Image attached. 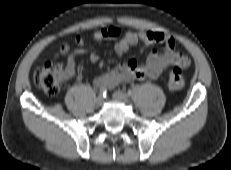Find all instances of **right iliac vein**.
<instances>
[{"mask_svg": "<svg viewBox=\"0 0 231 170\" xmlns=\"http://www.w3.org/2000/svg\"><path fill=\"white\" fill-rule=\"evenodd\" d=\"M104 103V98L102 96H98L96 99V105L97 106H102Z\"/></svg>", "mask_w": 231, "mask_h": 170, "instance_id": "obj_1", "label": "right iliac vein"}]
</instances>
